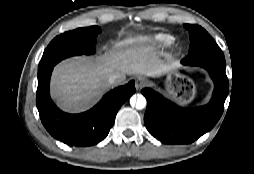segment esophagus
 <instances>
[{"label": "esophagus", "mask_w": 254, "mask_h": 174, "mask_svg": "<svg viewBox=\"0 0 254 174\" xmlns=\"http://www.w3.org/2000/svg\"><path fill=\"white\" fill-rule=\"evenodd\" d=\"M145 85H146V80L143 78H139L135 82V87L137 90H141L142 88L145 87Z\"/></svg>", "instance_id": "obj_1"}]
</instances>
